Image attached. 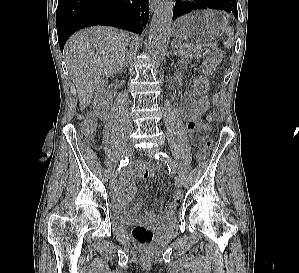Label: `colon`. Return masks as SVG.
Here are the masks:
<instances>
[{
	"label": "colon",
	"instance_id": "obj_1",
	"mask_svg": "<svg viewBox=\"0 0 299 273\" xmlns=\"http://www.w3.org/2000/svg\"><path fill=\"white\" fill-rule=\"evenodd\" d=\"M195 52L197 56L205 58V62L203 65V73L206 77L210 76L221 59V53L218 47L213 43L198 44L195 47ZM208 107L209 102L206 95L204 93L200 94L193 104V118L197 121H201L202 116L208 110ZM94 130L95 121L93 118H89L82 126L83 137L90 138ZM210 146L211 141L209 139L205 140L202 149L199 151L197 155L198 160L203 161L208 157ZM182 197V191L176 190L173 194L172 204L177 205L182 200ZM131 234L137 242L143 245L150 244L154 238L153 232L143 225H135L131 230Z\"/></svg>",
	"mask_w": 299,
	"mask_h": 273
}]
</instances>
